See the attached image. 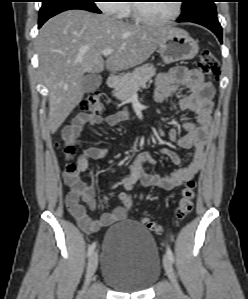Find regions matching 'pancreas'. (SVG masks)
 Segmentation results:
<instances>
[{"mask_svg":"<svg viewBox=\"0 0 248 299\" xmlns=\"http://www.w3.org/2000/svg\"><path fill=\"white\" fill-rule=\"evenodd\" d=\"M155 72L156 69L153 65L145 64L131 73L122 75L112 92L113 95L121 101L129 100L133 93L146 85L147 81L155 75Z\"/></svg>","mask_w":248,"mask_h":299,"instance_id":"obj_1","label":"pancreas"}]
</instances>
